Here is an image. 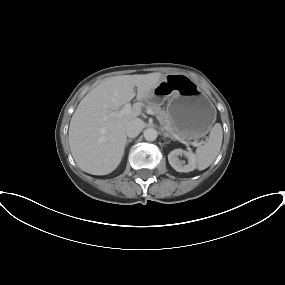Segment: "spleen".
Segmentation results:
<instances>
[{"label": "spleen", "mask_w": 285, "mask_h": 285, "mask_svg": "<svg viewBox=\"0 0 285 285\" xmlns=\"http://www.w3.org/2000/svg\"><path fill=\"white\" fill-rule=\"evenodd\" d=\"M223 139L222 127L216 123L210 131L208 141L196 149V164L199 170L208 168L218 156Z\"/></svg>", "instance_id": "3e777b00"}]
</instances>
